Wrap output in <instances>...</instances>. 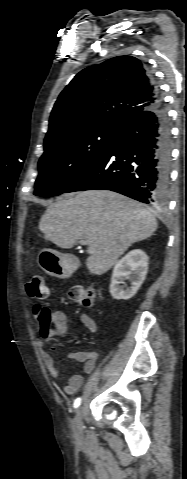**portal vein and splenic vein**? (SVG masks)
<instances>
[{"label": "portal vein and splenic vein", "instance_id": "portal-vein-and-splenic-vein-1", "mask_svg": "<svg viewBox=\"0 0 187 479\" xmlns=\"http://www.w3.org/2000/svg\"><path fill=\"white\" fill-rule=\"evenodd\" d=\"M80 244H81V245H87L88 243H87L86 240H81V241H80Z\"/></svg>", "mask_w": 187, "mask_h": 479}]
</instances>
